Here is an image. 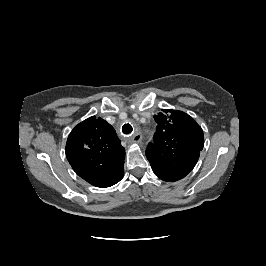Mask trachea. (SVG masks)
<instances>
[{"mask_svg": "<svg viewBox=\"0 0 266 266\" xmlns=\"http://www.w3.org/2000/svg\"><path fill=\"white\" fill-rule=\"evenodd\" d=\"M132 131H133V128H132V126L129 123H126V124L123 125L122 132L124 134H130V133H132Z\"/></svg>", "mask_w": 266, "mask_h": 266, "instance_id": "1", "label": "trachea"}]
</instances>
